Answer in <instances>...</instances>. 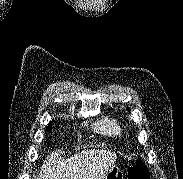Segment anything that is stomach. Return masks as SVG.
<instances>
[{
    "mask_svg": "<svg viewBox=\"0 0 183 179\" xmlns=\"http://www.w3.org/2000/svg\"><path fill=\"white\" fill-rule=\"evenodd\" d=\"M104 179H124L123 172L117 166H112Z\"/></svg>",
    "mask_w": 183,
    "mask_h": 179,
    "instance_id": "0dacf381",
    "label": "stomach"
}]
</instances>
